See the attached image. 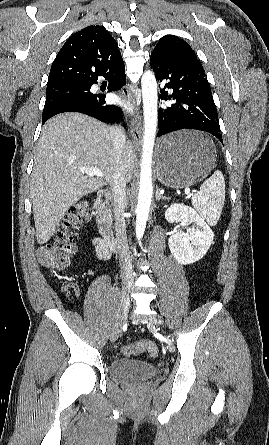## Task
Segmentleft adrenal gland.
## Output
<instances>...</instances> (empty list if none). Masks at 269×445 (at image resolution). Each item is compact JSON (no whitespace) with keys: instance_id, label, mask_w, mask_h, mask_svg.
I'll return each mask as SVG.
<instances>
[{"instance_id":"obj_1","label":"left adrenal gland","mask_w":269,"mask_h":445,"mask_svg":"<svg viewBox=\"0 0 269 445\" xmlns=\"http://www.w3.org/2000/svg\"><path fill=\"white\" fill-rule=\"evenodd\" d=\"M155 198H156V200H168V197L162 196V195L159 193L158 188H157V191H156V196H155Z\"/></svg>"}]
</instances>
